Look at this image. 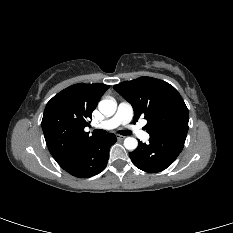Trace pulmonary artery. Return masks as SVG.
<instances>
[{
	"mask_svg": "<svg viewBox=\"0 0 233 233\" xmlns=\"http://www.w3.org/2000/svg\"><path fill=\"white\" fill-rule=\"evenodd\" d=\"M132 117L133 108L131 104L123 101L119 104L117 112L113 117L95 125V127L110 130L123 125L128 127L130 131H132L141 140H148L149 134L147 132L141 130L138 126L129 124L132 120Z\"/></svg>",
	"mask_w": 233,
	"mask_h": 233,
	"instance_id": "pulmonary-artery-1",
	"label": "pulmonary artery"
}]
</instances>
